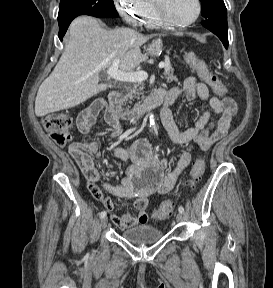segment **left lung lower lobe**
I'll use <instances>...</instances> for the list:
<instances>
[{
    "mask_svg": "<svg viewBox=\"0 0 273 288\" xmlns=\"http://www.w3.org/2000/svg\"><path fill=\"white\" fill-rule=\"evenodd\" d=\"M204 27L209 29L223 42L225 48H228V26L227 20L220 21H203L201 23Z\"/></svg>",
    "mask_w": 273,
    "mask_h": 288,
    "instance_id": "0a47b994",
    "label": "left lung lower lobe"
}]
</instances>
